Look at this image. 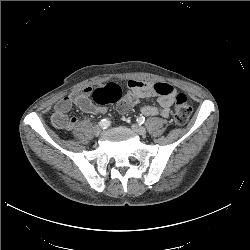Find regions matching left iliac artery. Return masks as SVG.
Masks as SVG:
<instances>
[{
  "label": "left iliac artery",
  "instance_id": "44dca946",
  "mask_svg": "<svg viewBox=\"0 0 250 250\" xmlns=\"http://www.w3.org/2000/svg\"><path fill=\"white\" fill-rule=\"evenodd\" d=\"M137 122H138L140 125L143 124V123L145 122V117H143V116L138 117V118H137Z\"/></svg>",
  "mask_w": 250,
  "mask_h": 250
}]
</instances>
